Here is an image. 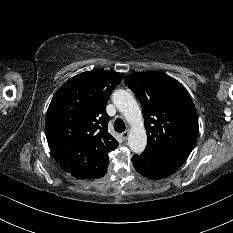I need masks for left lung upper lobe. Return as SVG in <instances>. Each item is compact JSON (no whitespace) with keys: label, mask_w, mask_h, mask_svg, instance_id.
Listing matches in <instances>:
<instances>
[{"label":"left lung upper lobe","mask_w":233,"mask_h":233,"mask_svg":"<svg viewBox=\"0 0 233 233\" xmlns=\"http://www.w3.org/2000/svg\"><path fill=\"white\" fill-rule=\"evenodd\" d=\"M125 82L143 109L145 151L185 162L198 135V116L188 91L158 71L133 72Z\"/></svg>","instance_id":"1"}]
</instances>
